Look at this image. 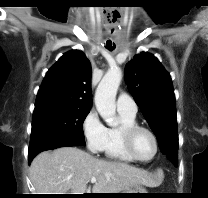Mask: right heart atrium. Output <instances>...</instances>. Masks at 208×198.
I'll use <instances>...</instances> for the list:
<instances>
[{
	"mask_svg": "<svg viewBox=\"0 0 208 198\" xmlns=\"http://www.w3.org/2000/svg\"><path fill=\"white\" fill-rule=\"evenodd\" d=\"M82 132L90 152L96 154L103 151L107 128L94 109H91L84 117L82 121Z\"/></svg>",
	"mask_w": 208,
	"mask_h": 198,
	"instance_id": "right-heart-atrium-1",
	"label": "right heart atrium"
}]
</instances>
